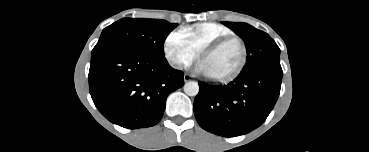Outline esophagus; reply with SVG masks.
<instances>
[{
	"mask_svg": "<svg viewBox=\"0 0 369 152\" xmlns=\"http://www.w3.org/2000/svg\"><path fill=\"white\" fill-rule=\"evenodd\" d=\"M183 78H184V81L185 82H188V81H191L192 80V77L190 75H188V74H185Z\"/></svg>",
	"mask_w": 369,
	"mask_h": 152,
	"instance_id": "obj_1",
	"label": "esophagus"
}]
</instances>
